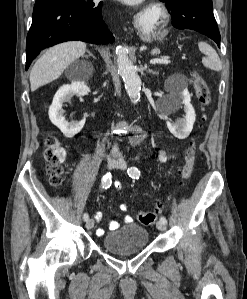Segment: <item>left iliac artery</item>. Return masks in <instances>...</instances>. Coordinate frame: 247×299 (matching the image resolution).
<instances>
[{"label": "left iliac artery", "mask_w": 247, "mask_h": 299, "mask_svg": "<svg viewBox=\"0 0 247 299\" xmlns=\"http://www.w3.org/2000/svg\"><path fill=\"white\" fill-rule=\"evenodd\" d=\"M128 174L131 178L138 179L140 176V171L137 167L131 166L130 168H128ZM160 220L165 224L167 223V219L164 216H162Z\"/></svg>", "instance_id": "1"}]
</instances>
